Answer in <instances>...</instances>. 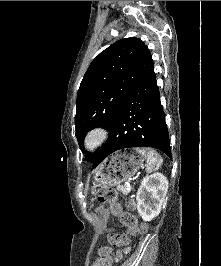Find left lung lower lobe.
Listing matches in <instances>:
<instances>
[{"mask_svg": "<svg viewBox=\"0 0 221 266\" xmlns=\"http://www.w3.org/2000/svg\"><path fill=\"white\" fill-rule=\"evenodd\" d=\"M132 147H153L171 158L169 133L154 72L126 96L92 169L112 153Z\"/></svg>", "mask_w": 221, "mask_h": 266, "instance_id": "0a47b994", "label": "left lung lower lobe"}]
</instances>
